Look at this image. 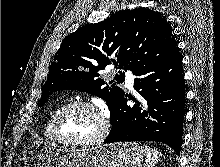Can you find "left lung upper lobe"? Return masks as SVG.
Masks as SVG:
<instances>
[{
  "label": "left lung upper lobe",
  "mask_w": 220,
  "mask_h": 167,
  "mask_svg": "<svg viewBox=\"0 0 220 167\" xmlns=\"http://www.w3.org/2000/svg\"><path fill=\"white\" fill-rule=\"evenodd\" d=\"M171 27L158 13L145 8L122 10L96 24H88L63 40L43 85L39 106L59 90H80L104 99L110 112L124 91L99 78L100 71L115 64V80H125L123 70L135 73L177 47ZM114 58V59H113Z\"/></svg>",
  "instance_id": "left-lung-upper-lobe-1"
}]
</instances>
